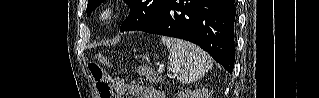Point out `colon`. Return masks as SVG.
Masks as SVG:
<instances>
[{
	"instance_id": "colon-1",
	"label": "colon",
	"mask_w": 319,
	"mask_h": 98,
	"mask_svg": "<svg viewBox=\"0 0 319 98\" xmlns=\"http://www.w3.org/2000/svg\"><path fill=\"white\" fill-rule=\"evenodd\" d=\"M106 63H107V59L105 57H100V63L92 62L88 66L90 75L92 79L94 80V82L96 83V87L99 92L100 98H112V93L107 83L105 71L102 66ZM138 73L141 76L146 77L151 82L158 81L157 73L148 66H140L138 69Z\"/></svg>"
}]
</instances>
